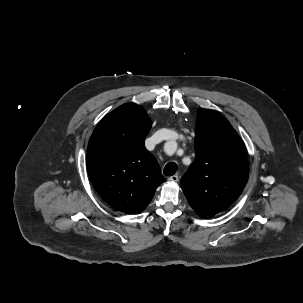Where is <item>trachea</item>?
<instances>
[{
    "label": "trachea",
    "instance_id": "1",
    "mask_svg": "<svg viewBox=\"0 0 303 303\" xmlns=\"http://www.w3.org/2000/svg\"><path fill=\"white\" fill-rule=\"evenodd\" d=\"M177 168H178V166L175 162H170V163L166 164L163 172L166 176H172L177 171Z\"/></svg>",
    "mask_w": 303,
    "mask_h": 303
}]
</instances>
